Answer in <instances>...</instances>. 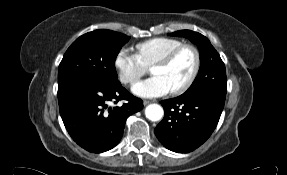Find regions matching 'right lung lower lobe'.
<instances>
[{
	"mask_svg": "<svg viewBox=\"0 0 287 175\" xmlns=\"http://www.w3.org/2000/svg\"><path fill=\"white\" fill-rule=\"evenodd\" d=\"M126 100L122 106L110 102ZM59 111L72 139L89 152L101 153L115 147L123 136L126 119L143 108V101L121 84L103 86L73 81L58 86Z\"/></svg>",
	"mask_w": 287,
	"mask_h": 175,
	"instance_id": "1",
	"label": "right lung lower lobe"
}]
</instances>
